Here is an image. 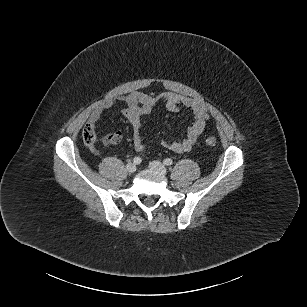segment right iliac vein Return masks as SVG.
<instances>
[{"mask_svg": "<svg viewBox=\"0 0 307 307\" xmlns=\"http://www.w3.org/2000/svg\"><path fill=\"white\" fill-rule=\"evenodd\" d=\"M126 170L129 172V173H134L136 171V166L135 164L133 163H128L126 165Z\"/></svg>", "mask_w": 307, "mask_h": 307, "instance_id": "63e3f726", "label": "right iliac vein"}]
</instances>
